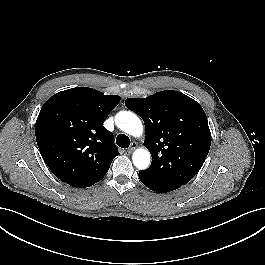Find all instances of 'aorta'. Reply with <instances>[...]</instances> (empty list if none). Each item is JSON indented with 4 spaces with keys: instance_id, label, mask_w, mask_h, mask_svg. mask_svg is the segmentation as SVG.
<instances>
[{
    "instance_id": "obj_1",
    "label": "aorta",
    "mask_w": 265,
    "mask_h": 265,
    "mask_svg": "<svg viewBox=\"0 0 265 265\" xmlns=\"http://www.w3.org/2000/svg\"><path fill=\"white\" fill-rule=\"evenodd\" d=\"M117 127L125 133L139 137L143 133V125L139 117L131 111H120L115 116ZM133 164L140 170L150 165V153L147 149H136L132 155Z\"/></svg>"
}]
</instances>
